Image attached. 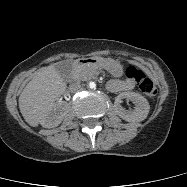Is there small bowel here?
I'll return each instance as SVG.
<instances>
[{"instance_id": "small-bowel-1", "label": "small bowel", "mask_w": 187, "mask_h": 187, "mask_svg": "<svg viewBox=\"0 0 187 187\" xmlns=\"http://www.w3.org/2000/svg\"><path fill=\"white\" fill-rule=\"evenodd\" d=\"M107 88L113 92L128 91L134 88V81L132 79L111 80Z\"/></svg>"}]
</instances>
